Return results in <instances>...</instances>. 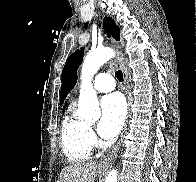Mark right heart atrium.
<instances>
[{
  "mask_svg": "<svg viewBox=\"0 0 196 182\" xmlns=\"http://www.w3.org/2000/svg\"><path fill=\"white\" fill-rule=\"evenodd\" d=\"M88 133H89V138H90L91 143H95L96 138H95L94 132L91 128H88Z\"/></svg>",
  "mask_w": 196,
  "mask_h": 182,
  "instance_id": "d8ad5b80",
  "label": "right heart atrium"
}]
</instances>
